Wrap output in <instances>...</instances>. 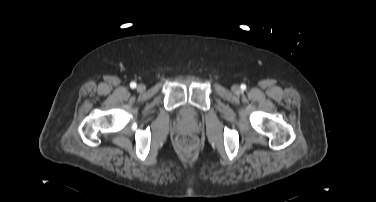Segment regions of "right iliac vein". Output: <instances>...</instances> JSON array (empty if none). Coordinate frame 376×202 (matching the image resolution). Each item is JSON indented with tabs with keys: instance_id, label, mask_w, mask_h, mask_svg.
Here are the masks:
<instances>
[{
	"instance_id": "1",
	"label": "right iliac vein",
	"mask_w": 376,
	"mask_h": 202,
	"mask_svg": "<svg viewBox=\"0 0 376 202\" xmlns=\"http://www.w3.org/2000/svg\"><path fill=\"white\" fill-rule=\"evenodd\" d=\"M146 89V86L144 84H139L137 86V91L143 92Z\"/></svg>"
}]
</instances>
